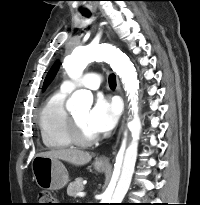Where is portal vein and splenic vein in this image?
I'll use <instances>...</instances> for the list:
<instances>
[{"mask_svg":"<svg viewBox=\"0 0 200 205\" xmlns=\"http://www.w3.org/2000/svg\"><path fill=\"white\" fill-rule=\"evenodd\" d=\"M85 195H86L85 192H78L76 194V196H78V197H84Z\"/></svg>","mask_w":200,"mask_h":205,"instance_id":"obj_1","label":"portal vein and splenic vein"}]
</instances>
